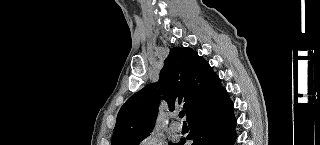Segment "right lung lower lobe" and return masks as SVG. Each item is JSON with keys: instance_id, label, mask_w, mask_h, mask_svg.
I'll use <instances>...</instances> for the list:
<instances>
[{"instance_id": "obj_1", "label": "right lung lower lobe", "mask_w": 320, "mask_h": 145, "mask_svg": "<svg viewBox=\"0 0 320 145\" xmlns=\"http://www.w3.org/2000/svg\"><path fill=\"white\" fill-rule=\"evenodd\" d=\"M233 103L219 77L211 85L206 104L188 117L192 145H233L236 139ZM181 139L176 145H184Z\"/></svg>"}]
</instances>
